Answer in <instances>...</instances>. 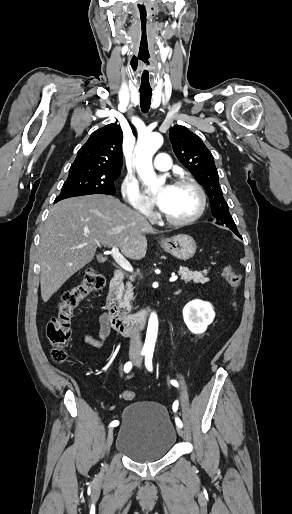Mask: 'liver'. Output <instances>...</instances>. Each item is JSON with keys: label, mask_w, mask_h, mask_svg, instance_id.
<instances>
[{"label": "liver", "mask_w": 292, "mask_h": 514, "mask_svg": "<svg viewBox=\"0 0 292 514\" xmlns=\"http://www.w3.org/2000/svg\"><path fill=\"white\" fill-rule=\"evenodd\" d=\"M144 234H156L139 212L114 196H79L55 204L41 232V296L48 302L68 278L92 262L98 246L121 248L130 260L147 252Z\"/></svg>", "instance_id": "6515ba94"}]
</instances>
